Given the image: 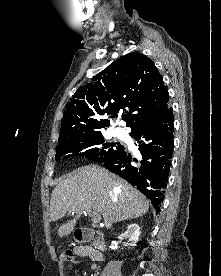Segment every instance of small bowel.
<instances>
[{"label":"small bowel","instance_id":"small-bowel-1","mask_svg":"<svg viewBox=\"0 0 221 276\" xmlns=\"http://www.w3.org/2000/svg\"><path fill=\"white\" fill-rule=\"evenodd\" d=\"M75 253L79 257H87L92 261H100L102 259L101 253L88 246H79L75 248Z\"/></svg>","mask_w":221,"mask_h":276}]
</instances>
